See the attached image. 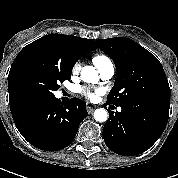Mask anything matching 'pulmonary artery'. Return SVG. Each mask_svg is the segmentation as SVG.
<instances>
[{"mask_svg":"<svg viewBox=\"0 0 178 178\" xmlns=\"http://www.w3.org/2000/svg\"><path fill=\"white\" fill-rule=\"evenodd\" d=\"M100 76L103 80H110L115 74V66L110 61L98 69Z\"/></svg>","mask_w":178,"mask_h":178,"instance_id":"1","label":"pulmonary artery"}]
</instances>
